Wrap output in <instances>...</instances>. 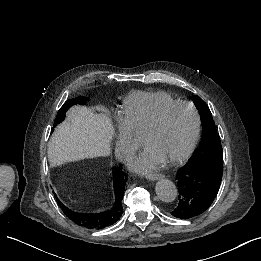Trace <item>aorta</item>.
<instances>
[{
	"instance_id": "762f6f07",
	"label": "aorta",
	"mask_w": 261,
	"mask_h": 261,
	"mask_svg": "<svg viewBox=\"0 0 261 261\" xmlns=\"http://www.w3.org/2000/svg\"><path fill=\"white\" fill-rule=\"evenodd\" d=\"M155 190L158 198L166 203L173 202L178 195L177 187L168 179L158 181Z\"/></svg>"
}]
</instances>
